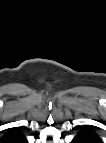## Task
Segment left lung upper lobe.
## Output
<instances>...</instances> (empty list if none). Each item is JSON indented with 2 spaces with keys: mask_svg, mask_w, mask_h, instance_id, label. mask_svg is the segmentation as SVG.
<instances>
[{
  "mask_svg": "<svg viewBox=\"0 0 106 143\" xmlns=\"http://www.w3.org/2000/svg\"><path fill=\"white\" fill-rule=\"evenodd\" d=\"M88 143H100L101 139L97 136V134L90 128H84L79 133Z\"/></svg>",
  "mask_w": 106,
  "mask_h": 143,
  "instance_id": "1",
  "label": "left lung upper lobe"
}]
</instances>
